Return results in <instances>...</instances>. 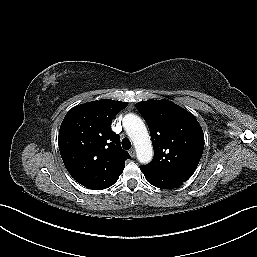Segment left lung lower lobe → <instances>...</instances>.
I'll return each instance as SVG.
<instances>
[{
  "label": "left lung lower lobe",
  "mask_w": 257,
  "mask_h": 257,
  "mask_svg": "<svg viewBox=\"0 0 257 257\" xmlns=\"http://www.w3.org/2000/svg\"><path fill=\"white\" fill-rule=\"evenodd\" d=\"M147 181L155 187L167 189L178 187L183 184V182L187 181V179L170 176L168 174H158L155 176L147 175L143 170H141Z\"/></svg>",
  "instance_id": "obj_1"
}]
</instances>
